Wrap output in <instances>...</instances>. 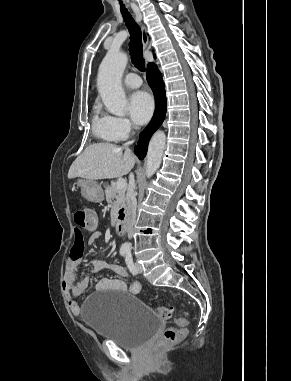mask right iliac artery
Returning a JSON list of instances; mask_svg holds the SVG:
<instances>
[{
  "instance_id": "obj_1",
  "label": "right iliac artery",
  "mask_w": 291,
  "mask_h": 381,
  "mask_svg": "<svg viewBox=\"0 0 291 381\" xmlns=\"http://www.w3.org/2000/svg\"><path fill=\"white\" fill-rule=\"evenodd\" d=\"M126 253H127V250H125V249H121V250H120V254H121L122 256H124Z\"/></svg>"
}]
</instances>
